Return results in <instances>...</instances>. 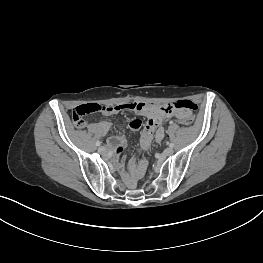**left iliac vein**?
I'll return each instance as SVG.
<instances>
[{
  "mask_svg": "<svg viewBox=\"0 0 263 263\" xmlns=\"http://www.w3.org/2000/svg\"><path fill=\"white\" fill-rule=\"evenodd\" d=\"M173 152H174V151H173L172 148H167V149L164 150L163 155H164V156H170V155L173 154Z\"/></svg>",
  "mask_w": 263,
  "mask_h": 263,
  "instance_id": "obj_1",
  "label": "left iliac vein"
}]
</instances>
